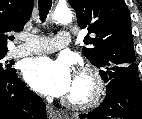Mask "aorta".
<instances>
[{"instance_id": "1", "label": "aorta", "mask_w": 142, "mask_h": 119, "mask_svg": "<svg viewBox=\"0 0 142 119\" xmlns=\"http://www.w3.org/2000/svg\"><path fill=\"white\" fill-rule=\"evenodd\" d=\"M72 19V12L68 7H57L51 15V21L56 23H68Z\"/></svg>"}]
</instances>
